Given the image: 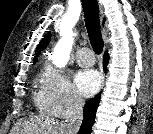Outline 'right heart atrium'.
Segmentation results:
<instances>
[{
    "instance_id": "right-heart-atrium-1",
    "label": "right heart atrium",
    "mask_w": 153,
    "mask_h": 134,
    "mask_svg": "<svg viewBox=\"0 0 153 134\" xmlns=\"http://www.w3.org/2000/svg\"><path fill=\"white\" fill-rule=\"evenodd\" d=\"M37 105L41 111L63 118L79 112L84 100L63 72L47 66L40 76Z\"/></svg>"
}]
</instances>
